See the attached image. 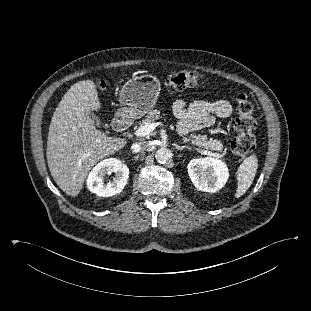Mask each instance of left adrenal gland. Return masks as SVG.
Here are the masks:
<instances>
[{
    "label": "left adrenal gland",
    "mask_w": 311,
    "mask_h": 311,
    "mask_svg": "<svg viewBox=\"0 0 311 311\" xmlns=\"http://www.w3.org/2000/svg\"><path fill=\"white\" fill-rule=\"evenodd\" d=\"M175 148H176L177 150H180V151H182L183 149L192 150V148L189 147V146H185V145L180 146V145H178V144H175Z\"/></svg>",
    "instance_id": "left-adrenal-gland-1"
}]
</instances>
